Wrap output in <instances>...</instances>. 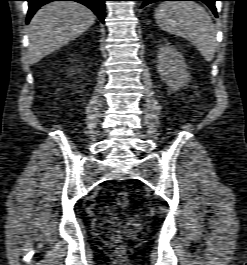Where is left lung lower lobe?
<instances>
[{
  "mask_svg": "<svg viewBox=\"0 0 247 265\" xmlns=\"http://www.w3.org/2000/svg\"><path fill=\"white\" fill-rule=\"evenodd\" d=\"M137 1H143L142 7H144L150 3H154L157 1H168V0H137ZM191 1H202V2H204L206 5H208V7L212 10L213 14L217 17V11L215 8V1H218V0H191Z\"/></svg>",
  "mask_w": 247,
  "mask_h": 265,
  "instance_id": "left-lung-lower-lobe-1",
  "label": "left lung lower lobe"
}]
</instances>
